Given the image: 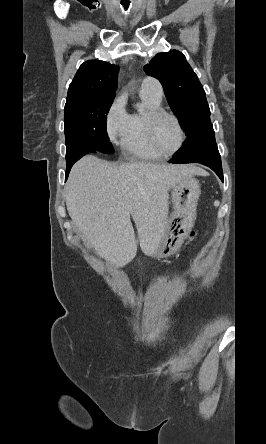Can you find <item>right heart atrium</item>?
I'll list each match as a JSON object with an SVG mask.
<instances>
[{"label":"right heart atrium","mask_w":266,"mask_h":444,"mask_svg":"<svg viewBox=\"0 0 266 444\" xmlns=\"http://www.w3.org/2000/svg\"><path fill=\"white\" fill-rule=\"evenodd\" d=\"M125 106V97L123 95H119L113 101L106 115L105 130L108 139L112 143H116L120 138L122 139L124 134L129 116L126 112Z\"/></svg>","instance_id":"right-heart-atrium-1"}]
</instances>
